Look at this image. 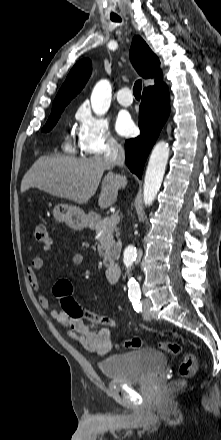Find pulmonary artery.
<instances>
[{
    "label": "pulmonary artery",
    "mask_w": 221,
    "mask_h": 440,
    "mask_svg": "<svg viewBox=\"0 0 221 440\" xmlns=\"http://www.w3.org/2000/svg\"><path fill=\"white\" fill-rule=\"evenodd\" d=\"M117 101L122 106H130L133 102L131 90L128 87H123L117 93Z\"/></svg>",
    "instance_id": "1"
}]
</instances>
